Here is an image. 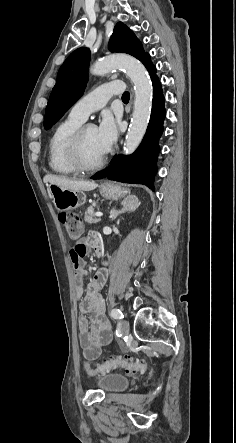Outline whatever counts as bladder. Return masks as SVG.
I'll return each mask as SVG.
<instances>
[{"instance_id":"obj_1","label":"bladder","mask_w":236,"mask_h":443,"mask_svg":"<svg viewBox=\"0 0 236 443\" xmlns=\"http://www.w3.org/2000/svg\"><path fill=\"white\" fill-rule=\"evenodd\" d=\"M130 378L120 373H104L100 375L96 383L98 386L108 392H120L130 385Z\"/></svg>"}]
</instances>
